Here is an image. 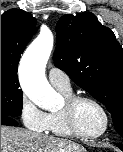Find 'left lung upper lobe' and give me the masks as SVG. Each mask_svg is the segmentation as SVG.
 Segmentation results:
<instances>
[{
  "label": "left lung upper lobe",
  "mask_w": 123,
  "mask_h": 152,
  "mask_svg": "<svg viewBox=\"0 0 123 152\" xmlns=\"http://www.w3.org/2000/svg\"><path fill=\"white\" fill-rule=\"evenodd\" d=\"M55 66L103 103L123 137V49L92 13L62 16L56 26Z\"/></svg>",
  "instance_id": "left-lung-upper-lobe-1"
}]
</instances>
